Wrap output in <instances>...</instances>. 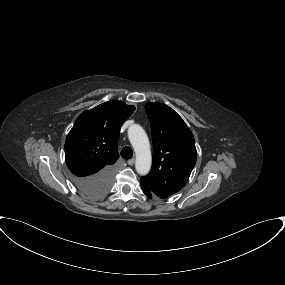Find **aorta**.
<instances>
[{
  "label": "aorta",
  "instance_id": "1",
  "mask_svg": "<svg viewBox=\"0 0 285 285\" xmlns=\"http://www.w3.org/2000/svg\"><path fill=\"white\" fill-rule=\"evenodd\" d=\"M128 137L136 154L135 168L140 175H147L151 169L150 143L145 130L138 124L128 129Z\"/></svg>",
  "mask_w": 285,
  "mask_h": 285
}]
</instances>
